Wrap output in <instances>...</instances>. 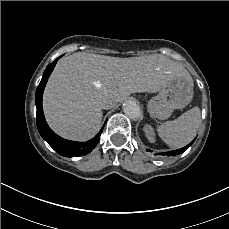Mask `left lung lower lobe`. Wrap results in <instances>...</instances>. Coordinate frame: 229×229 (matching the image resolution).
Returning <instances> with one entry per match:
<instances>
[{
  "label": "left lung lower lobe",
  "instance_id": "left-lung-lower-lobe-1",
  "mask_svg": "<svg viewBox=\"0 0 229 229\" xmlns=\"http://www.w3.org/2000/svg\"><path fill=\"white\" fill-rule=\"evenodd\" d=\"M194 141H195V139L191 143H189L188 145H186L185 147H182V148H180L178 150L164 152V153H159V154L160 155H167V156H176V155L182 154L183 152H185L187 150L188 147H190L194 143ZM147 151H151V150H147Z\"/></svg>",
  "mask_w": 229,
  "mask_h": 229
}]
</instances>
